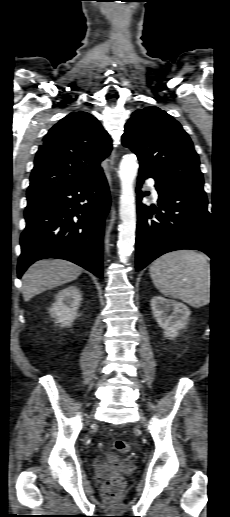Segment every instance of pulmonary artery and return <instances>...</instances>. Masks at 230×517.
Wrapping results in <instances>:
<instances>
[{
  "label": "pulmonary artery",
  "instance_id": "1",
  "mask_svg": "<svg viewBox=\"0 0 230 517\" xmlns=\"http://www.w3.org/2000/svg\"><path fill=\"white\" fill-rule=\"evenodd\" d=\"M149 185L151 187L153 197L157 199L158 198V193H157L156 189L154 188L153 181H149Z\"/></svg>",
  "mask_w": 230,
  "mask_h": 517
}]
</instances>
